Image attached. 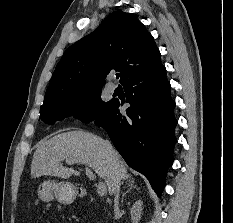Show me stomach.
I'll use <instances>...</instances> for the list:
<instances>
[{"instance_id":"obj_1","label":"stomach","mask_w":233,"mask_h":223,"mask_svg":"<svg viewBox=\"0 0 233 223\" xmlns=\"http://www.w3.org/2000/svg\"><path fill=\"white\" fill-rule=\"evenodd\" d=\"M37 195L41 201H59L63 205H70L75 201L79 191L78 187L71 181H56V179H45L37 185Z\"/></svg>"}]
</instances>
